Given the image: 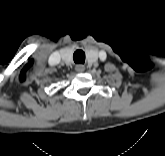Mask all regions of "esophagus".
Returning a JSON list of instances; mask_svg holds the SVG:
<instances>
[{"label": "esophagus", "mask_w": 165, "mask_h": 156, "mask_svg": "<svg viewBox=\"0 0 165 156\" xmlns=\"http://www.w3.org/2000/svg\"><path fill=\"white\" fill-rule=\"evenodd\" d=\"M75 70H76L77 72H83V71L85 70V66L82 65V64H77V65L75 66Z\"/></svg>", "instance_id": "34e87169"}]
</instances>
